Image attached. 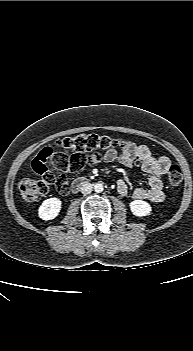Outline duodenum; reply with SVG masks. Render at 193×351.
Instances as JSON below:
<instances>
[{"instance_id":"duodenum-1","label":"duodenum","mask_w":193,"mask_h":351,"mask_svg":"<svg viewBox=\"0 0 193 351\" xmlns=\"http://www.w3.org/2000/svg\"><path fill=\"white\" fill-rule=\"evenodd\" d=\"M86 184V179L83 177L76 178L72 185H71V190L73 192L77 191L81 186Z\"/></svg>"}]
</instances>
